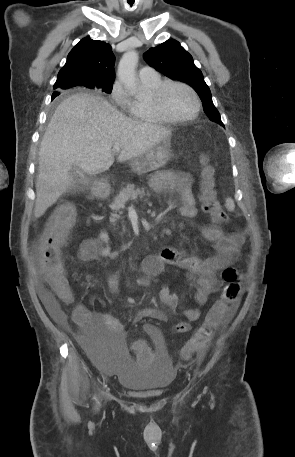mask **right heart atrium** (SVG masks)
<instances>
[{"mask_svg":"<svg viewBox=\"0 0 295 457\" xmlns=\"http://www.w3.org/2000/svg\"><path fill=\"white\" fill-rule=\"evenodd\" d=\"M110 96L112 101L122 110L130 111L132 100L122 84L116 81L111 89Z\"/></svg>","mask_w":295,"mask_h":457,"instance_id":"1","label":"right heart atrium"}]
</instances>
